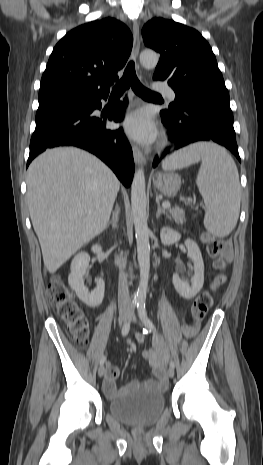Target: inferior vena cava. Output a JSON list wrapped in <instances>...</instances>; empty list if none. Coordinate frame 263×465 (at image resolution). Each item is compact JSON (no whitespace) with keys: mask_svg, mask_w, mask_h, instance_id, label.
<instances>
[{"mask_svg":"<svg viewBox=\"0 0 263 465\" xmlns=\"http://www.w3.org/2000/svg\"><path fill=\"white\" fill-rule=\"evenodd\" d=\"M125 264L122 262L119 266V282H118V306L119 309H129L131 307V299L127 283V276L124 273Z\"/></svg>","mask_w":263,"mask_h":465,"instance_id":"602c4592","label":"inferior vena cava"}]
</instances>
